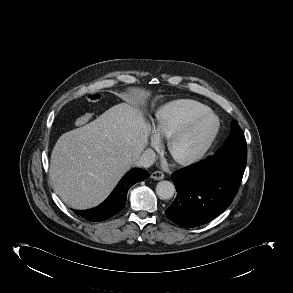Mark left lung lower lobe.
<instances>
[{"label":"left lung lower lobe","instance_id":"1","mask_svg":"<svg viewBox=\"0 0 293 293\" xmlns=\"http://www.w3.org/2000/svg\"><path fill=\"white\" fill-rule=\"evenodd\" d=\"M247 161V146L224 151L174 172L177 197L165 213L180 226L208 223L233 201Z\"/></svg>","mask_w":293,"mask_h":293}]
</instances>
